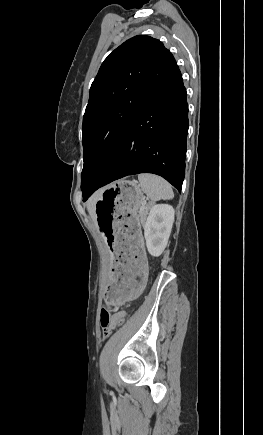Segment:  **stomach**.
<instances>
[{"label":"stomach","instance_id":"stomach-1","mask_svg":"<svg viewBox=\"0 0 263 435\" xmlns=\"http://www.w3.org/2000/svg\"><path fill=\"white\" fill-rule=\"evenodd\" d=\"M142 198L135 180L121 179L95 199L98 233H103L111 262L108 305H133L150 282L148 261L144 260L145 234L138 216Z\"/></svg>","mask_w":263,"mask_h":435}]
</instances>
